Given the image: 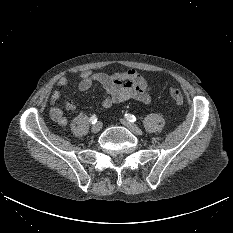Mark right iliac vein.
<instances>
[{
  "mask_svg": "<svg viewBox=\"0 0 233 233\" xmlns=\"http://www.w3.org/2000/svg\"><path fill=\"white\" fill-rule=\"evenodd\" d=\"M101 128H102V123H101V122H97V123H95V124L92 126L91 131H92L93 133H98V132L101 130Z\"/></svg>",
  "mask_w": 233,
  "mask_h": 233,
  "instance_id": "1",
  "label": "right iliac vein"
}]
</instances>
